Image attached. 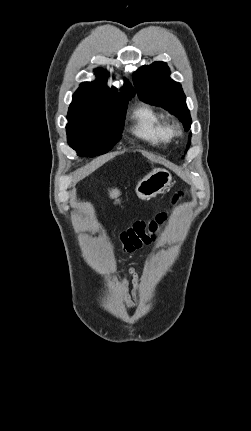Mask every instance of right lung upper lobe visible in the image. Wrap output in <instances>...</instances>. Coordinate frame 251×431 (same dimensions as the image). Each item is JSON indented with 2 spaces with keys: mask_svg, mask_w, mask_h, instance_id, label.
I'll list each match as a JSON object with an SVG mask.
<instances>
[{
  "mask_svg": "<svg viewBox=\"0 0 251 431\" xmlns=\"http://www.w3.org/2000/svg\"><path fill=\"white\" fill-rule=\"evenodd\" d=\"M97 79L94 82H83L76 92L85 94H95L109 97L116 100L131 99L135 95V91L128 81H125L122 92L117 93V90L107 86L109 74L104 69H95Z\"/></svg>",
  "mask_w": 251,
  "mask_h": 431,
  "instance_id": "cb5924a9",
  "label": "right lung upper lobe"
}]
</instances>
